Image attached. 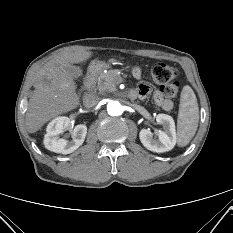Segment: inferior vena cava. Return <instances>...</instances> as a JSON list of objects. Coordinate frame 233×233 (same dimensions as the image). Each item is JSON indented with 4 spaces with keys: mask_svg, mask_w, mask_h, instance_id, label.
<instances>
[{
    "mask_svg": "<svg viewBox=\"0 0 233 233\" xmlns=\"http://www.w3.org/2000/svg\"><path fill=\"white\" fill-rule=\"evenodd\" d=\"M100 98L95 95V94H87L84 99L83 102L85 104L86 107H93L96 106L99 103Z\"/></svg>",
    "mask_w": 233,
    "mask_h": 233,
    "instance_id": "inferior-vena-cava-1",
    "label": "inferior vena cava"
}]
</instances>
